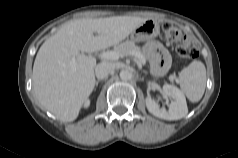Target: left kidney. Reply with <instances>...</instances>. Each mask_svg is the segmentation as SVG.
I'll use <instances>...</instances> for the list:
<instances>
[{"label": "left kidney", "mask_w": 238, "mask_h": 158, "mask_svg": "<svg viewBox=\"0 0 238 158\" xmlns=\"http://www.w3.org/2000/svg\"><path fill=\"white\" fill-rule=\"evenodd\" d=\"M163 92L172 99L168 110L160 108L156 101L151 97H147L146 106L148 111L154 116L165 120H179L185 117L188 113V107L183 92L169 84L163 85Z\"/></svg>", "instance_id": "obj_1"}]
</instances>
